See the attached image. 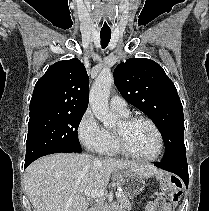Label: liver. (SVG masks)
<instances>
[{"mask_svg": "<svg viewBox=\"0 0 209 211\" xmlns=\"http://www.w3.org/2000/svg\"><path fill=\"white\" fill-rule=\"evenodd\" d=\"M129 170L141 178L162 174L150 165L118 159L100 160L88 154L57 153L31 163L24 173L27 196L35 211H87V187L104 189L111 174Z\"/></svg>", "mask_w": 209, "mask_h": 211, "instance_id": "1", "label": "liver"}]
</instances>
